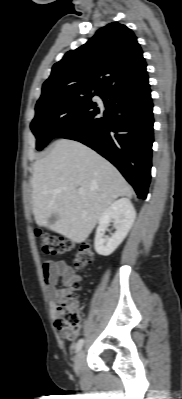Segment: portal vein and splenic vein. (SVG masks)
<instances>
[{
	"instance_id": "18ae733b",
	"label": "portal vein and splenic vein",
	"mask_w": 182,
	"mask_h": 399,
	"mask_svg": "<svg viewBox=\"0 0 182 399\" xmlns=\"http://www.w3.org/2000/svg\"><path fill=\"white\" fill-rule=\"evenodd\" d=\"M78 192H79L80 194H84V193H85V189H84V188H79V189H78Z\"/></svg>"
}]
</instances>
